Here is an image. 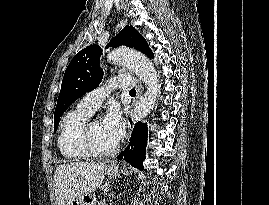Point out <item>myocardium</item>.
Listing matches in <instances>:
<instances>
[{
    "instance_id": "obj_1",
    "label": "myocardium",
    "mask_w": 269,
    "mask_h": 205,
    "mask_svg": "<svg viewBox=\"0 0 269 205\" xmlns=\"http://www.w3.org/2000/svg\"><path fill=\"white\" fill-rule=\"evenodd\" d=\"M94 121H88L82 132V143L87 150L88 154L93 157L103 158V157H109L117 153L119 150V144L116 143V145L109 149V150H101L99 149L95 142L91 131V126Z\"/></svg>"
}]
</instances>
